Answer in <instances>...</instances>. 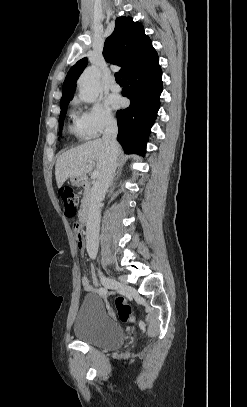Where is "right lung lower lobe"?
<instances>
[{
  "mask_svg": "<svg viewBox=\"0 0 247 407\" xmlns=\"http://www.w3.org/2000/svg\"><path fill=\"white\" fill-rule=\"evenodd\" d=\"M122 95L130 106L117 111V140L126 153H146L150 129L155 122L162 92V71L155 56L128 71Z\"/></svg>",
  "mask_w": 247,
  "mask_h": 407,
  "instance_id": "right-lung-lower-lobe-1",
  "label": "right lung lower lobe"
}]
</instances>
